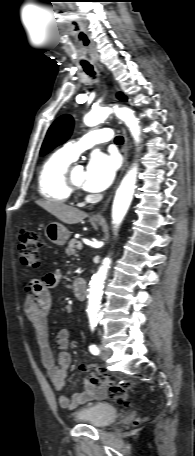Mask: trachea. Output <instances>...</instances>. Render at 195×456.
<instances>
[{"label": "trachea", "instance_id": "1", "mask_svg": "<svg viewBox=\"0 0 195 456\" xmlns=\"http://www.w3.org/2000/svg\"><path fill=\"white\" fill-rule=\"evenodd\" d=\"M84 71L90 76H94L95 75V72H94L92 66L84 67ZM115 143L118 144V145L123 144V137L122 136H117L115 138Z\"/></svg>", "mask_w": 195, "mask_h": 456}]
</instances>
